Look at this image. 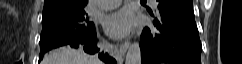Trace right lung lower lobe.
Here are the masks:
<instances>
[{
	"mask_svg": "<svg viewBox=\"0 0 242 64\" xmlns=\"http://www.w3.org/2000/svg\"><path fill=\"white\" fill-rule=\"evenodd\" d=\"M96 39H97V36H96V32H95L91 37L84 38V39L77 40V41H71L68 44H66V46H70L72 48L80 47V48H83V50L86 53L95 54L100 51L99 48L97 47ZM43 56H44V54L40 55L39 56L40 59H42ZM98 56L106 64H116V60L114 58L110 57L108 54L100 52Z\"/></svg>",
	"mask_w": 242,
	"mask_h": 64,
	"instance_id": "obj_1",
	"label": "right lung lower lobe"
}]
</instances>
